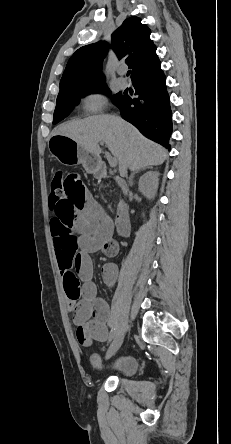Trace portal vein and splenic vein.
I'll use <instances>...</instances> for the list:
<instances>
[{
	"label": "portal vein and splenic vein",
	"mask_w": 231,
	"mask_h": 444,
	"mask_svg": "<svg viewBox=\"0 0 231 444\" xmlns=\"http://www.w3.org/2000/svg\"><path fill=\"white\" fill-rule=\"evenodd\" d=\"M101 145H103V143H101ZM108 162H109L110 167H112V168H115L117 166V163H118L117 159L115 157H112V156L108 157Z\"/></svg>",
	"instance_id": "18ae733b"
}]
</instances>
